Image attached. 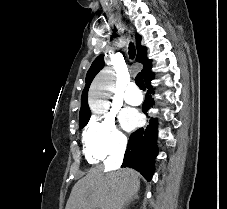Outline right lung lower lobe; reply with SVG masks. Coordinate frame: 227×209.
<instances>
[{
  "label": "right lung lower lobe",
  "instance_id": "98d812e1",
  "mask_svg": "<svg viewBox=\"0 0 227 209\" xmlns=\"http://www.w3.org/2000/svg\"><path fill=\"white\" fill-rule=\"evenodd\" d=\"M154 74L145 79L149 93L153 91L150 81ZM151 96H147L142 110L144 113L152 107ZM157 119H151L146 129L140 128L131 134L125 152L122 167H131L139 171L146 180L150 181L154 173L153 161L158 153L156 146Z\"/></svg>",
  "mask_w": 227,
  "mask_h": 209
}]
</instances>
